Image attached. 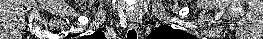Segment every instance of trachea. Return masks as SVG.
Masks as SVG:
<instances>
[{"label": "trachea", "mask_w": 263, "mask_h": 39, "mask_svg": "<svg viewBox=\"0 0 263 39\" xmlns=\"http://www.w3.org/2000/svg\"><path fill=\"white\" fill-rule=\"evenodd\" d=\"M127 39H137V33L135 29H131L127 33Z\"/></svg>", "instance_id": "3493384b"}]
</instances>
